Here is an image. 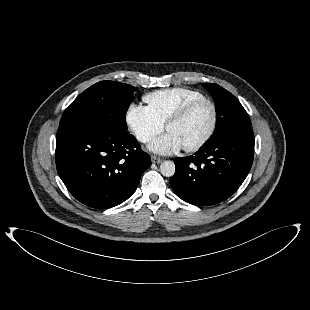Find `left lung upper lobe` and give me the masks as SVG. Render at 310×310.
<instances>
[{"instance_id":"left-lung-upper-lobe-1","label":"left lung upper lobe","mask_w":310,"mask_h":310,"mask_svg":"<svg viewBox=\"0 0 310 310\" xmlns=\"http://www.w3.org/2000/svg\"><path fill=\"white\" fill-rule=\"evenodd\" d=\"M202 85L211 93L216 107V128L208 144L251 128L248 113L234 95L217 84Z\"/></svg>"}]
</instances>
